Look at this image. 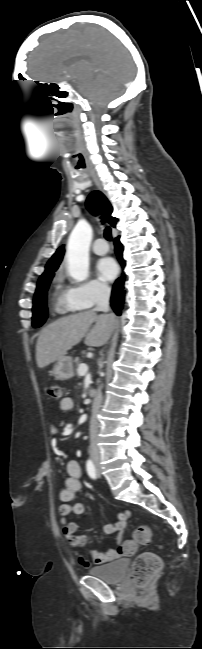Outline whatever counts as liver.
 Returning a JSON list of instances; mask_svg holds the SVG:
<instances>
[{
  "mask_svg": "<svg viewBox=\"0 0 202 649\" xmlns=\"http://www.w3.org/2000/svg\"><path fill=\"white\" fill-rule=\"evenodd\" d=\"M94 327L89 331L92 323ZM113 314L97 315L95 310L60 318L45 327L37 340L36 362L39 368L61 359L86 336L85 344L100 347L106 344L115 328ZM89 331V332H88Z\"/></svg>",
  "mask_w": 202,
  "mask_h": 649,
  "instance_id": "1",
  "label": "liver"
}]
</instances>
